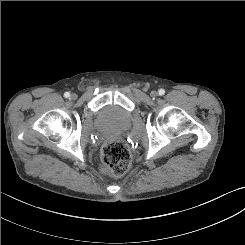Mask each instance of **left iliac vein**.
I'll list each match as a JSON object with an SVG mask.
<instances>
[{
    "label": "left iliac vein",
    "instance_id": "obj_1",
    "mask_svg": "<svg viewBox=\"0 0 245 245\" xmlns=\"http://www.w3.org/2000/svg\"><path fill=\"white\" fill-rule=\"evenodd\" d=\"M150 95H151V97L156 98L158 96V92L151 91Z\"/></svg>",
    "mask_w": 245,
    "mask_h": 245
}]
</instances>
